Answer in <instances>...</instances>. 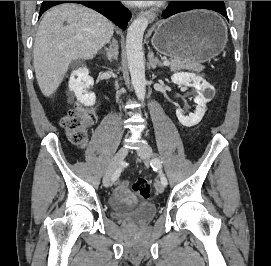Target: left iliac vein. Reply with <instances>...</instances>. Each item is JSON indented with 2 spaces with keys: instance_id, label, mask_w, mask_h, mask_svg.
<instances>
[{
  "instance_id": "4c4485c4",
  "label": "left iliac vein",
  "mask_w": 271,
  "mask_h": 266,
  "mask_svg": "<svg viewBox=\"0 0 271 266\" xmlns=\"http://www.w3.org/2000/svg\"><path fill=\"white\" fill-rule=\"evenodd\" d=\"M137 153L140 157L144 159L145 164H149L153 160V152L149 145L144 144L140 149L137 150ZM155 188L158 193H163L165 186L161 181H156Z\"/></svg>"
}]
</instances>
